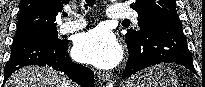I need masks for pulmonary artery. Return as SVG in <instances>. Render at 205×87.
Returning <instances> with one entry per match:
<instances>
[{
	"instance_id": "1",
	"label": "pulmonary artery",
	"mask_w": 205,
	"mask_h": 87,
	"mask_svg": "<svg viewBox=\"0 0 205 87\" xmlns=\"http://www.w3.org/2000/svg\"><path fill=\"white\" fill-rule=\"evenodd\" d=\"M108 18L112 19H125V18H131L133 20H137L138 15L135 13L133 10L130 8L121 5V4H113L109 7L108 13H107ZM77 19L76 20H71L62 23L59 26V31L61 33H72L75 31H78L82 29L83 27L86 26V21L83 17L76 15Z\"/></svg>"
}]
</instances>
